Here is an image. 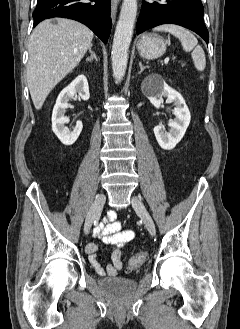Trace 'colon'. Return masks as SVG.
<instances>
[{"instance_id":"obj_1","label":"colon","mask_w":240,"mask_h":329,"mask_svg":"<svg viewBox=\"0 0 240 329\" xmlns=\"http://www.w3.org/2000/svg\"><path fill=\"white\" fill-rule=\"evenodd\" d=\"M146 255L144 253H138L132 256L128 262V268L130 270H135L139 268L145 261Z\"/></svg>"}]
</instances>
